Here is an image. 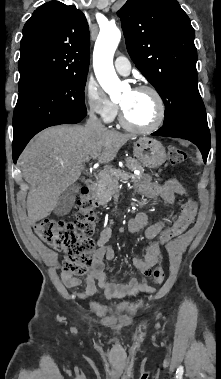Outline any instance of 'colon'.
<instances>
[{"mask_svg": "<svg viewBox=\"0 0 221 379\" xmlns=\"http://www.w3.org/2000/svg\"><path fill=\"white\" fill-rule=\"evenodd\" d=\"M168 154L172 164H180L186 160L185 152L179 148H171ZM95 207L96 202L82 190L77 201L78 213L73 221L44 219L35 225L36 233L45 243L65 253L63 269L75 276L85 273L92 263V235L96 227ZM196 214L197 203L190 198L183 204L181 213L173 225L160 233V243L165 244L184 233L193 224ZM153 277L156 283H161L164 279L163 269H155Z\"/></svg>", "mask_w": 221, "mask_h": 379, "instance_id": "colon-1", "label": "colon"}]
</instances>
